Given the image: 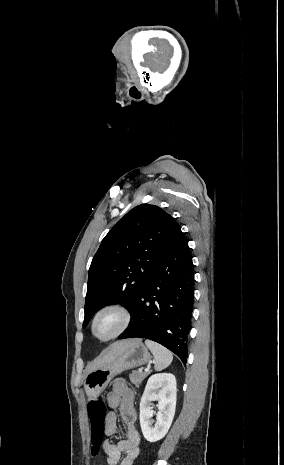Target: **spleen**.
Masks as SVG:
<instances>
[{"mask_svg": "<svg viewBox=\"0 0 284 465\" xmlns=\"http://www.w3.org/2000/svg\"><path fill=\"white\" fill-rule=\"evenodd\" d=\"M146 347L150 349L153 357H154V369L155 371H163L166 367H169L173 361V355L162 347V345H158V343H154V341H145Z\"/></svg>", "mask_w": 284, "mask_h": 465, "instance_id": "3e777b00", "label": "spleen"}]
</instances>
